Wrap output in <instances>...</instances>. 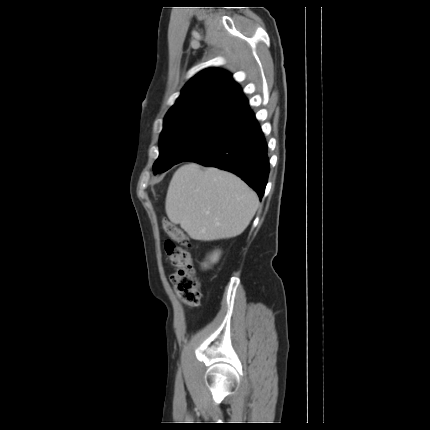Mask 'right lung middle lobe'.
<instances>
[{
    "mask_svg": "<svg viewBox=\"0 0 430 430\" xmlns=\"http://www.w3.org/2000/svg\"><path fill=\"white\" fill-rule=\"evenodd\" d=\"M240 118L231 106L220 101L167 114L160 135V155L153 165L154 174L186 161L228 131Z\"/></svg>",
    "mask_w": 430,
    "mask_h": 430,
    "instance_id": "right-lung-middle-lobe-1",
    "label": "right lung middle lobe"
}]
</instances>
